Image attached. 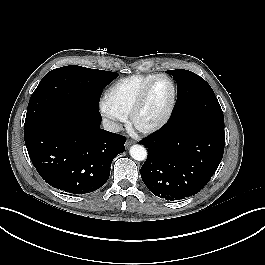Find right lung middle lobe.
<instances>
[{
	"instance_id": "1",
	"label": "right lung middle lobe",
	"mask_w": 265,
	"mask_h": 265,
	"mask_svg": "<svg viewBox=\"0 0 265 265\" xmlns=\"http://www.w3.org/2000/svg\"><path fill=\"white\" fill-rule=\"evenodd\" d=\"M117 73L69 65L47 73L32 94L24 128L35 124L65 106H79L99 111L103 87Z\"/></svg>"
}]
</instances>
